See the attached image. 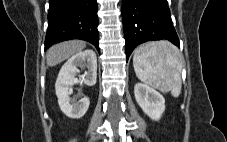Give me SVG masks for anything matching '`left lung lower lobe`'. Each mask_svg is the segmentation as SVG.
Here are the masks:
<instances>
[{
    "mask_svg": "<svg viewBox=\"0 0 227 142\" xmlns=\"http://www.w3.org/2000/svg\"><path fill=\"white\" fill-rule=\"evenodd\" d=\"M122 20L127 60L147 41L166 39L180 47L167 0H123Z\"/></svg>",
    "mask_w": 227,
    "mask_h": 142,
    "instance_id": "1",
    "label": "left lung lower lobe"
}]
</instances>
